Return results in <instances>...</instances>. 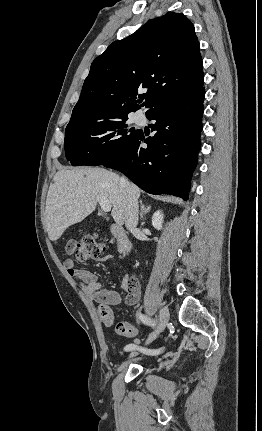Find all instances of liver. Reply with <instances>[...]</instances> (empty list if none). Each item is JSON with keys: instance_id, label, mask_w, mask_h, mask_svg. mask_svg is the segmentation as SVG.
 Returning <instances> with one entry per match:
<instances>
[{"instance_id": "obj_1", "label": "liver", "mask_w": 262, "mask_h": 431, "mask_svg": "<svg viewBox=\"0 0 262 431\" xmlns=\"http://www.w3.org/2000/svg\"><path fill=\"white\" fill-rule=\"evenodd\" d=\"M120 180L118 174L100 167L59 170L46 199L45 226L49 239L58 240L69 226L90 215L96 209L98 196L111 202V215L116 223L122 224L127 191ZM128 184L131 194L138 199L140 189Z\"/></svg>"}]
</instances>
